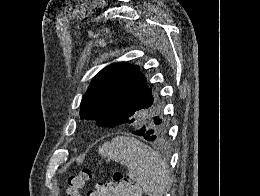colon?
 <instances>
[{
	"label": "colon",
	"instance_id": "1",
	"mask_svg": "<svg viewBox=\"0 0 260 196\" xmlns=\"http://www.w3.org/2000/svg\"><path fill=\"white\" fill-rule=\"evenodd\" d=\"M93 178L94 173L90 169H83L79 174L70 175L68 178V196H80L84 183ZM111 183L119 189H123L128 185L126 177L122 174H114Z\"/></svg>",
	"mask_w": 260,
	"mask_h": 196
}]
</instances>
